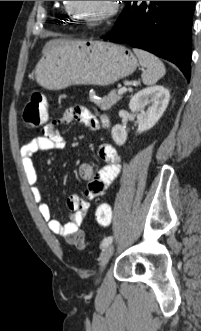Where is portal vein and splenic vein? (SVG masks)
Segmentation results:
<instances>
[{"mask_svg": "<svg viewBox=\"0 0 201 331\" xmlns=\"http://www.w3.org/2000/svg\"><path fill=\"white\" fill-rule=\"evenodd\" d=\"M125 92H127V88H126V87H122V88L119 89V91H118L119 94H124Z\"/></svg>", "mask_w": 201, "mask_h": 331, "instance_id": "18ae733b", "label": "portal vein and splenic vein"}]
</instances>
